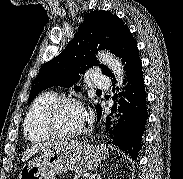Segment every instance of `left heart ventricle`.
<instances>
[{"label":"left heart ventricle","instance_id":"obj_1","mask_svg":"<svg viewBox=\"0 0 183 179\" xmlns=\"http://www.w3.org/2000/svg\"><path fill=\"white\" fill-rule=\"evenodd\" d=\"M84 119L82 110L74 104H63L55 112L53 126L60 133H70L80 127Z\"/></svg>","mask_w":183,"mask_h":179}]
</instances>
